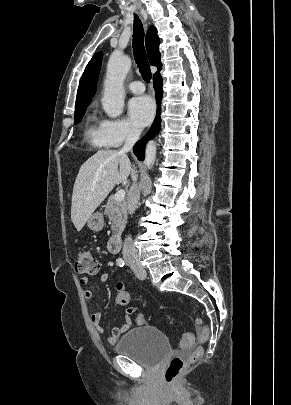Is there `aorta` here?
<instances>
[{
	"label": "aorta",
	"instance_id": "obj_1",
	"mask_svg": "<svg viewBox=\"0 0 291 405\" xmlns=\"http://www.w3.org/2000/svg\"><path fill=\"white\" fill-rule=\"evenodd\" d=\"M131 67V59L127 55H111L104 81V94L102 106L107 115L111 118L120 116L124 107L125 77ZM156 159V144L149 141L145 150L144 164L151 169Z\"/></svg>",
	"mask_w": 291,
	"mask_h": 405
}]
</instances>
